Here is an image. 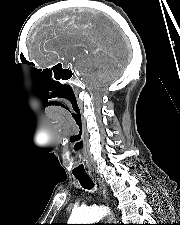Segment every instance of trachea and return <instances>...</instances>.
<instances>
[{"label":"trachea","instance_id":"trachea-1","mask_svg":"<svg viewBox=\"0 0 180 225\" xmlns=\"http://www.w3.org/2000/svg\"><path fill=\"white\" fill-rule=\"evenodd\" d=\"M79 180L81 186L85 189H92L94 184L91 178L88 175H79L75 176Z\"/></svg>","mask_w":180,"mask_h":225}]
</instances>
